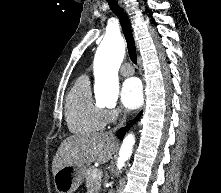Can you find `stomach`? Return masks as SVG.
<instances>
[{"label": "stomach", "mask_w": 221, "mask_h": 193, "mask_svg": "<svg viewBox=\"0 0 221 193\" xmlns=\"http://www.w3.org/2000/svg\"><path fill=\"white\" fill-rule=\"evenodd\" d=\"M86 173L84 165H67L54 174V185L58 193H73L82 183Z\"/></svg>", "instance_id": "stomach-1"}]
</instances>
